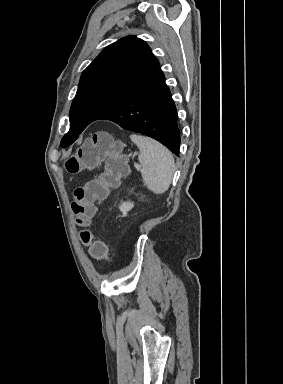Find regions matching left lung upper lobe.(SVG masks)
<instances>
[{"instance_id":"obj_1","label":"left lung upper lobe","mask_w":283,"mask_h":384,"mask_svg":"<svg viewBox=\"0 0 283 384\" xmlns=\"http://www.w3.org/2000/svg\"><path fill=\"white\" fill-rule=\"evenodd\" d=\"M158 67L149 46L135 36L106 47L81 75L70 109V130L60 146L71 145L91 122L119 104Z\"/></svg>"}]
</instances>
